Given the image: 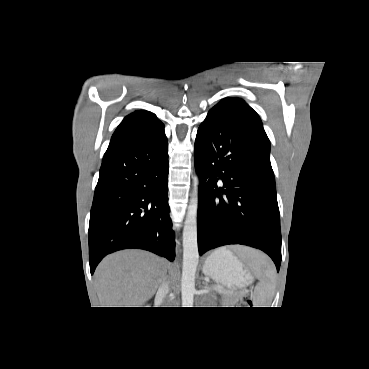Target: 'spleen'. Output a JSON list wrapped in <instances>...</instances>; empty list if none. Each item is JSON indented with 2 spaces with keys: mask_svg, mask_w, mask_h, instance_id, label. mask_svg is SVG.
<instances>
[{
  "mask_svg": "<svg viewBox=\"0 0 369 369\" xmlns=\"http://www.w3.org/2000/svg\"><path fill=\"white\" fill-rule=\"evenodd\" d=\"M242 257L249 260L250 267L256 272L260 282L254 291V305L268 307L275 290L276 270L270 259L261 252L246 248Z\"/></svg>",
  "mask_w": 369,
  "mask_h": 369,
  "instance_id": "1",
  "label": "spleen"
}]
</instances>
